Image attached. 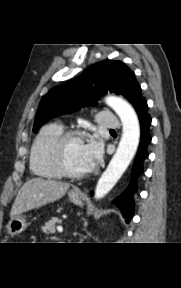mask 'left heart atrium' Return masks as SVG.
<instances>
[{
    "mask_svg": "<svg viewBox=\"0 0 181 288\" xmlns=\"http://www.w3.org/2000/svg\"><path fill=\"white\" fill-rule=\"evenodd\" d=\"M85 156L87 161L92 165L100 157L102 149L101 145L96 140H91L84 146Z\"/></svg>",
    "mask_w": 181,
    "mask_h": 288,
    "instance_id": "obj_1",
    "label": "left heart atrium"
}]
</instances>
